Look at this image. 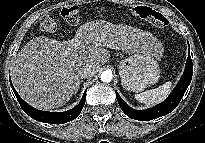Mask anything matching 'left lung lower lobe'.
<instances>
[{
    "instance_id": "obj_1",
    "label": "left lung lower lobe",
    "mask_w": 205,
    "mask_h": 143,
    "mask_svg": "<svg viewBox=\"0 0 205 143\" xmlns=\"http://www.w3.org/2000/svg\"><path fill=\"white\" fill-rule=\"evenodd\" d=\"M193 74V65L192 59L190 56V48H189V56L187 58L186 67L184 73L178 82L175 89L172 91L170 96L162 103L156 105L153 108L146 109V110H134L129 107L123 99L119 96L116 92V98L118 104L122 111L130 118L140 121H148L152 119L159 118L164 116L170 112H172L181 101L187 87L189 86Z\"/></svg>"
}]
</instances>
